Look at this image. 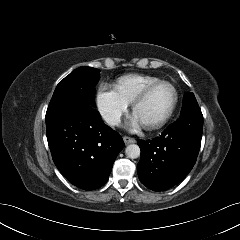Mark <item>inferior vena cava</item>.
Masks as SVG:
<instances>
[{
    "instance_id": "inferior-vena-cava-1",
    "label": "inferior vena cava",
    "mask_w": 240,
    "mask_h": 240,
    "mask_svg": "<svg viewBox=\"0 0 240 240\" xmlns=\"http://www.w3.org/2000/svg\"><path fill=\"white\" fill-rule=\"evenodd\" d=\"M105 120L111 126H118L121 122V117L118 113H112L107 115Z\"/></svg>"
}]
</instances>
